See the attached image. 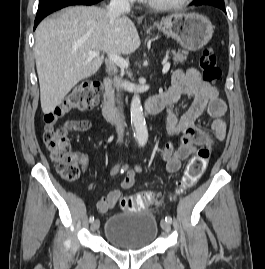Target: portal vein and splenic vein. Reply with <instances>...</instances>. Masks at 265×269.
Here are the masks:
<instances>
[{
  "label": "portal vein and splenic vein",
  "mask_w": 265,
  "mask_h": 269,
  "mask_svg": "<svg viewBox=\"0 0 265 269\" xmlns=\"http://www.w3.org/2000/svg\"><path fill=\"white\" fill-rule=\"evenodd\" d=\"M89 57L93 58V57H98L99 56V52L96 51H89L88 52ZM109 59L116 64L118 67H120L121 69H125L128 68L129 66V62H127L124 58H122L121 56L117 55V54H109L108 55ZM170 69V63L166 62L163 66L162 69V73L166 74Z\"/></svg>",
  "instance_id": "18ae733b"
}]
</instances>
